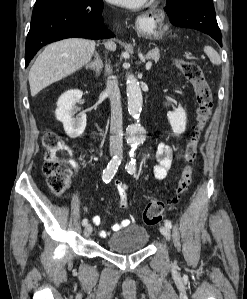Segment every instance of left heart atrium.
Masks as SVG:
<instances>
[{
  "mask_svg": "<svg viewBox=\"0 0 247 299\" xmlns=\"http://www.w3.org/2000/svg\"><path fill=\"white\" fill-rule=\"evenodd\" d=\"M107 1L125 7H138L142 5L146 0H107Z\"/></svg>",
  "mask_w": 247,
  "mask_h": 299,
  "instance_id": "1",
  "label": "left heart atrium"
}]
</instances>
